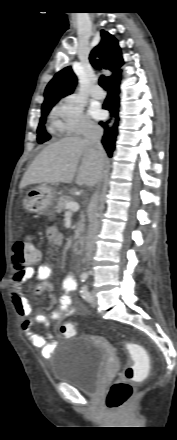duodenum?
I'll list each match as a JSON object with an SVG mask.
<instances>
[{"label": "duodenum", "instance_id": "duodenum-1", "mask_svg": "<svg viewBox=\"0 0 177 440\" xmlns=\"http://www.w3.org/2000/svg\"><path fill=\"white\" fill-rule=\"evenodd\" d=\"M84 242L82 237H78L73 244V251L76 254H81L83 252Z\"/></svg>", "mask_w": 177, "mask_h": 440}]
</instances>
